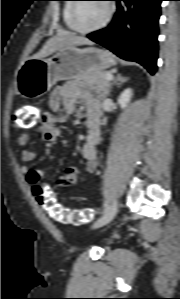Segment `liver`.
I'll return each instance as SVG.
<instances>
[{"label": "liver", "mask_w": 180, "mask_h": 299, "mask_svg": "<svg viewBox=\"0 0 180 299\" xmlns=\"http://www.w3.org/2000/svg\"><path fill=\"white\" fill-rule=\"evenodd\" d=\"M81 45H92V41L85 37L75 35L70 31L59 30L53 37L48 39L40 51L34 54L31 58L43 59L66 47H76Z\"/></svg>", "instance_id": "liver-1"}]
</instances>
